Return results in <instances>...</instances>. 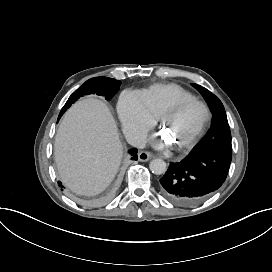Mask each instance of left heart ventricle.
I'll list each match as a JSON object with an SVG mask.
<instances>
[{
    "label": "left heart ventricle",
    "mask_w": 272,
    "mask_h": 272,
    "mask_svg": "<svg viewBox=\"0 0 272 272\" xmlns=\"http://www.w3.org/2000/svg\"><path fill=\"white\" fill-rule=\"evenodd\" d=\"M200 119V109L193 106L180 113L168 114L166 125L170 128L171 133L180 140V143H184L198 125Z\"/></svg>",
    "instance_id": "b2bd125f"
}]
</instances>
